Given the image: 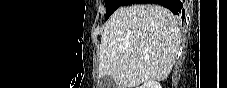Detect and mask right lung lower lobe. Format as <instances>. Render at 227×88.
<instances>
[{
  "instance_id": "right-lung-lower-lobe-1",
  "label": "right lung lower lobe",
  "mask_w": 227,
  "mask_h": 88,
  "mask_svg": "<svg viewBox=\"0 0 227 88\" xmlns=\"http://www.w3.org/2000/svg\"><path fill=\"white\" fill-rule=\"evenodd\" d=\"M184 0H132V3H154L160 4L168 8L173 14L185 18V11L183 7Z\"/></svg>"
}]
</instances>
